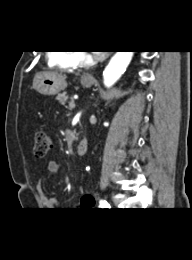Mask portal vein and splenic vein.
<instances>
[{
  "label": "portal vein and splenic vein",
  "instance_id": "18ae733b",
  "mask_svg": "<svg viewBox=\"0 0 192 260\" xmlns=\"http://www.w3.org/2000/svg\"><path fill=\"white\" fill-rule=\"evenodd\" d=\"M69 108L70 109L75 108V102H73V101L69 102Z\"/></svg>",
  "mask_w": 192,
  "mask_h": 260
}]
</instances>
